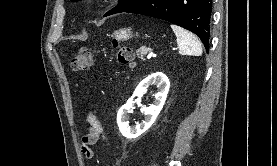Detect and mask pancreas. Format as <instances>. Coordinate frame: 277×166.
I'll list each match as a JSON object with an SVG mask.
<instances>
[{
    "instance_id": "pancreas-1",
    "label": "pancreas",
    "mask_w": 277,
    "mask_h": 166,
    "mask_svg": "<svg viewBox=\"0 0 277 166\" xmlns=\"http://www.w3.org/2000/svg\"><path fill=\"white\" fill-rule=\"evenodd\" d=\"M150 48H146V47H140L137 52L136 55L138 58L144 59V56L150 51Z\"/></svg>"
}]
</instances>
